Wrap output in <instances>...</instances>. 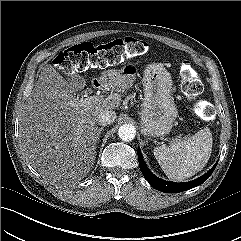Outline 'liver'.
Instances as JSON below:
<instances>
[{"mask_svg": "<svg viewBox=\"0 0 241 241\" xmlns=\"http://www.w3.org/2000/svg\"><path fill=\"white\" fill-rule=\"evenodd\" d=\"M73 77L66 80L52 65L44 66L21 113L23 153L51 184L67 185L86 177L96 158V115L120 105L117 93L101 102L80 99ZM105 86L122 88L115 78Z\"/></svg>", "mask_w": 241, "mask_h": 241, "instance_id": "obj_1", "label": "liver"}]
</instances>
